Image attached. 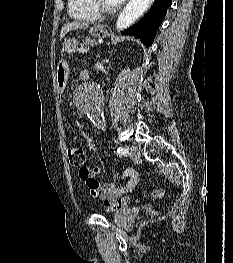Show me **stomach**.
Instances as JSON below:
<instances>
[{
    "mask_svg": "<svg viewBox=\"0 0 233 263\" xmlns=\"http://www.w3.org/2000/svg\"><path fill=\"white\" fill-rule=\"evenodd\" d=\"M90 35L96 38H103L107 35L106 26L103 24L94 25L90 31ZM64 49L67 53L73 54L78 49V41L74 38L67 39L64 42ZM69 78V65L66 61H59L56 69V81L57 87L60 91H63L66 87Z\"/></svg>",
    "mask_w": 233,
    "mask_h": 263,
    "instance_id": "0dacf381",
    "label": "stomach"
}]
</instances>
